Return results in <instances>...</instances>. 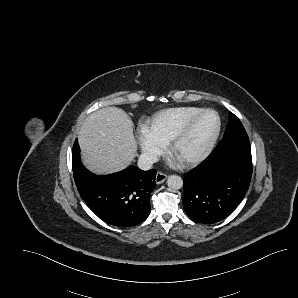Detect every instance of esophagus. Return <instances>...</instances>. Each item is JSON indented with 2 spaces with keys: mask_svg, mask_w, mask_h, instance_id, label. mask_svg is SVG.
I'll return each instance as SVG.
<instances>
[{
  "mask_svg": "<svg viewBox=\"0 0 298 298\" xmlns=\"http://www.w3.org/2000/svg\"><path fill=\"white\" fill-rule=\"evenodd\" d=\"M166 179H167V175L165 173L159 171L156 174L155 181H156L157 184L163 183Z\"/></svg>",
  "mask_w": 298,
  "mask_h": 298,
  "instance_id": "obj_1",
  "label": "esophagus"
}]
</instances>
